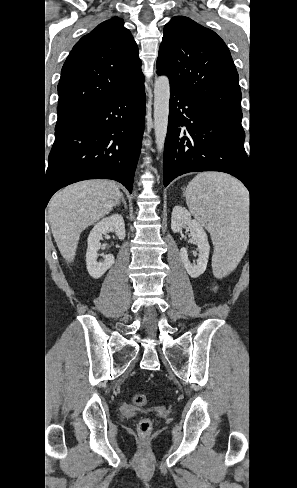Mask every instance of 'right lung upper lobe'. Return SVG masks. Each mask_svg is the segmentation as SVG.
I'll return each mask as SVG.
<instances>
[{"label": "right lung upper lobe", "mask_w": 297, "mask_h": 488, "mask_svg": "<svg viewBox=\"0 0 297 488\" xmlns=\"http://www.w3.org/2000/svg\"><path fill=\"white\" fill-rule=\"evenodd\" d=\"M123 19L112 17L73 47L58 84L61 125L143 78L138 47Z\"/></svg>", "instance_id": "cb5924a9"}]
</instances>
